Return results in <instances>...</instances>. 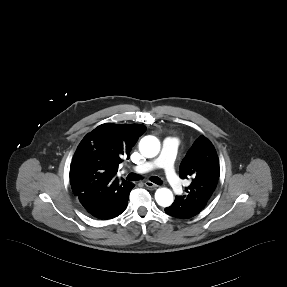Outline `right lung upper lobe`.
Here are the masks:
<instances>
[{
  "mask_svg": "<svg viewBox=\"0 0 287 287\" xmlns=\"http://www.w3.org/2000/svg\"><path fill=\"white\" fill-rule=\"evenodd\" d=\"M145 130L139 124L105 123L88 133L77 147L70 167L74 195L81 196L93 181L83 176L82 170L88 166L99 168L100 179H113L119 164L123 158H129L131 148Z\"/></svg>",
  "mask_w": 287,
  "mask_h": 287,
  "instance_id": "obj_1",
  "label": "right lung upper lobe"
}]
</instances>
